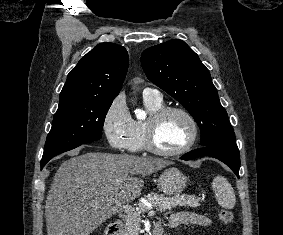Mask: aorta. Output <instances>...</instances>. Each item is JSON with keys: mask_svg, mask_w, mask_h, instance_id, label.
I'll return each mask as SVG.
<instances>
[{"mask_svg": "<svg viewBox=\"0 0 283 235\" xmlns=\"http://www.w3.org/2000/svg\"><path fill=\"white\" fill-rule=\"evenodd\" d=\"M136 117H137L138 119H141V118L145 117V113H144L143 111L138 110V111L136 112Z\"/></svg>", "mask_w": 283, "mask_h": 235, "instance_id": "aorta-1", "label": "aorta"}]
</instances>
